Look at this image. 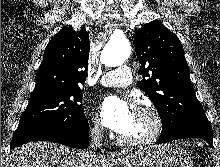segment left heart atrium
I'll return each instance as SVG.
<instances>
[{"instance_id":"1","label":"left heart atrium","mask_w":220,"mask_h":167,"mask_svg":"<svg viewBox=\"0 0 220 167\" xmlns=\"http://www.w3.org/2000/svg\"><path fill=\"white\" fill-rule=\"evenodd\" d=\"M98 109L104 125L120 134L130 127L135 114L130 102L117 96L104 97Z\"/></svg>"}]
</instances>
